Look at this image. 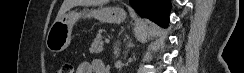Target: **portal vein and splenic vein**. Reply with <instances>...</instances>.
<instances>
[{"instance_id": "1", "label": "portal vein and splenic vein", "mask_w": 244, "mask_h": 73, "mask_svg": "<svg viewBox=\"0 0 244 73\" xmlns=\"http://www.w3.org/2000/svg\"><path fill=\"white\" fill-rule=\"evenodd\" d=\"M105 43L106 44H109L110 43V40L109 39H105Z\"/></svg>"}]
</instances>
